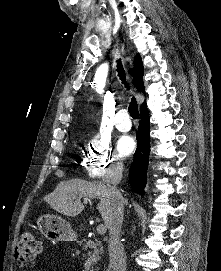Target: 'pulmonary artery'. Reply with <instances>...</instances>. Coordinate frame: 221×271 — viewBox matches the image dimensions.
Instances as JSON below:
<instances>
[{"label": "pulmonary artery", "mask_w": 221, "mask_h": 271, "mask_svg": "<svg viewBox=\"0 0 221 271\" xmlns=\"http://www.w3.org/2000/svg\"><path fill=\"white\" fill-rule=\"evenodd\" d=\"M128 112H112V117H114V126H117V128L121 132H126L129 130V127H123V126H129L131 122V117H128Z\"/></svg>", "instance_id": "1"}]
</instances>
